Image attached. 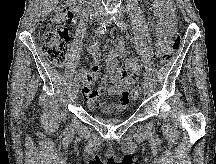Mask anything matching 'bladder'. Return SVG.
Instances as JSON below:
<instances>
[{
  "mask_svg": "<svg viewBox=\"0 0 216 164\" xmlns=\"http://www.w3.org/2000/svg\"><path fill=\"white\" fill-rule=\"evenodd\" d=\"M99 120L104 124L112 125L121 122L123 119L122 118H100Z\"/></svg>",
  "mask_w": 216,
  "mask_h": 164,
  "instance_id": "bladder-1",
  "label": "bladder"
}]
</instances>
